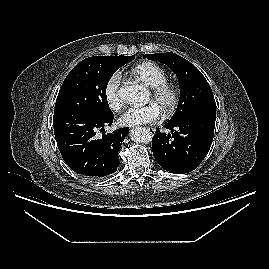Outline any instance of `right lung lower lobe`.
<instances>
[{
  "mask_svg": "<svg viewBox=\"0 0 269 269\" xmlns=\"http://www.w3.org/2000/svg\"><path fill=\"white\" fill-rule=\"evenodd\" d=\"M113 113L98 115L83 110L54 112L55 139L65 163L77 174L91 180L107 177L117 171L118 151L128 128L104 133L113 123ZM103 132L102 137L97 131Z\"/></svg>",
  "mask_w": 269,
  "mask_h": 269,
  "instance_id": "1",
  "label": "right lung lower lobe"
}]
</instances>
